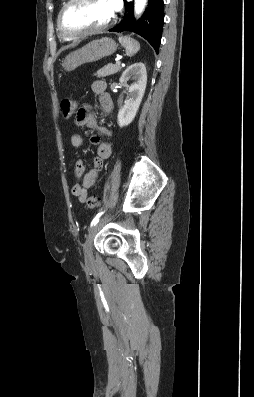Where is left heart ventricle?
Here are the masks:
<instances>
[{"mask_svg":"<svg viewBox=\"0 0 254 397\" xmlns=\"http://www.w3.org/2000/svg\"><path fill=\"white\" fill-rule=\"evenodd\" d=\"M112 15L106 0H79L65 12L63 24L69 31H81L104 25Z\"/></svg>","mask_w":254,"mask_h":397,"instance_id":"b2bd125f","label":"left heart ventricle"}]
</instances>
